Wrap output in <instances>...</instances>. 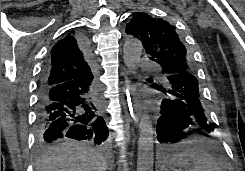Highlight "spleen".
<instances>
[{
	"instance_id": "1",
	"label": "spleen",
	"mask_w": 245,
	"mask_h": 171,
	"mask_svg": "<svg viewBox=\"0 0 245 171\" xmlns=\"http://www.w3.org/2000/svg\"><path fill=\"white\" fill-rule=\"evenodd\" d=\"M185 157L193 158L194 168L192 171H220L219 164L213 156L201 149H190L179 156L180 159Z\"/></svg>"
}]
</instances>
